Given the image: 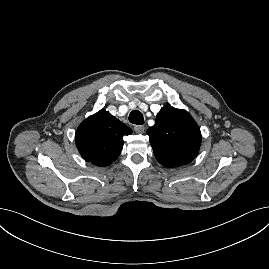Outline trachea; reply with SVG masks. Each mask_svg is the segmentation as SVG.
<instances>
[{
    "label": "trachea",
    "mask_w": 269,
    "mask_h": 269,
    "mask_svg": "<svg viewBox=\"0 0 269 269\" xmlns=\"http://www.w3.org/2000/svg\"><path fill=\"white\" fill-rule=\"evenodd\" d=\"M129 121L132 124H136V125H142L144 124V118L143 115L140 111L138 110H133L130 115H129Z\"/></svg>",
    "instance_id": "obj_1"
}]
</instances>
